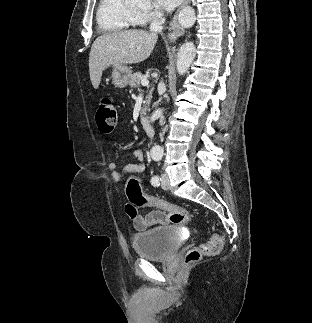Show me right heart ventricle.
Listing matches in <instances>:
<instances>
[{
  "instance_id": "right-heart-ventricle-1",
  "label": "right heart ventricle",
  "mask_w": 312,
  "mask_h": 323,
  "mask_svg": "<svg viewBox=\"0 0 312 323\" xmlns=\"http://www.w3.org/2000/svg\"><path fill=\"white\" fill-rule=\"evenodd\" d=\"M95 5L93 20L99 29H128L129 25H140L145 19L139 9L125 5L124 0H98Z\"/></svg>"
}]
</instances>
